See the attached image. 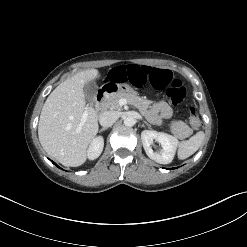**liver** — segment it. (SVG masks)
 Wrapping results in <instances>:
<instances>
[{"label": "liver", "mask_w": 247, "mask_h": 247, "mask_svg": "<svg viewBox=\"0 0 247 247\" xmlns=\"http://www.w3.org/2000/svg\"><path fill=\"white\" fill-rule=\"evenodd\" d=\"M100 78L96 69L84 70L57 86L45 101L38 125L44 150L65 166L77 167L87 159V150L98 132V116L86 106L84 87ZM88 116L81 122L83 113Z\"/></svg>", "instance_id": "6515ba94"}]
</instances>
